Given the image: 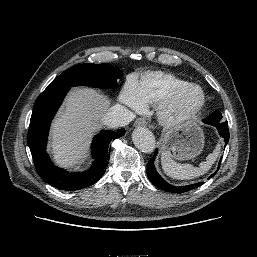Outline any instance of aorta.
Listing matches in <instances>:
<instances>
[{"label":"aorta","instance_id":"obj_1","mask_svg":"<svg viewBox=\"0 0 257 257\" xmlns=\"http://www.w3.org/2000/svg\"><path fill=\"white\" fill-rule=\"evenodd\" d=\"M132 140L143 153H152L155 149V137L146 127H138L133 131Z\"/></svg>","mask_w":257,"mask_h":257}]
</instances>
